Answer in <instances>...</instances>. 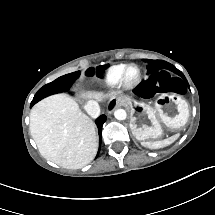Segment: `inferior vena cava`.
<instances>
[{"label":"inferior vena cava","mask_w":215,"mask_h":215,"mask_svg":"<svg viewBox=\"0 0 215 215\" xmlns=\"http://www.w3.org/2000/svg\"><path fill=\"white\" fill-rule=\"evenodd\" d=\"M84 109L93 117H97L100 111L98 103L94 100L87 101Z\"/></svg>","instance_id":"602c4592"}]
</instances>
